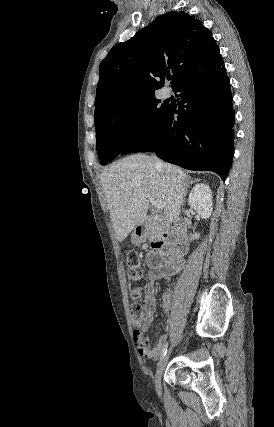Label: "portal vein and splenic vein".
<instances>
[{
  "mask_svg": "<svg viewBox=\"0 0 274 427\" xmlns=\"http://www.w3.org/2000/svg\"><path fill=\"white\" fill-rule=\"evenodd\" d=\"M149 200L156 210H163L162 200H154V198H149Z\"/></svg>",
  "mask_w": 274,
  "mask_h": 427,
  "instance_id": "obj_1",
  "label": "portal vein and splenic vein"
}]
</instances>
